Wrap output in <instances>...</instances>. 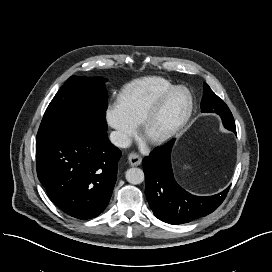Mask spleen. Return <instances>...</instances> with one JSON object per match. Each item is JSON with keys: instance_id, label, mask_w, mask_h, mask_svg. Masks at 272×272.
I'll return each instance as SVG.
<instances>
[{"instance_id": "3e777b00", "label": "spleen", "mask_w": 272, "mask_h": 272, "mask_svg": "<svg viewBox=\"0 0 272 272\" xmlns=\"http://www.w3.org/2000/svg\"><path fill=\"white\" fill-rule=\"evenodd\" d=\"M183 167H184L185 169H186V168H190V166L187 165V164H185Z\"/></svg>"}]
</instances>
